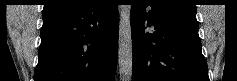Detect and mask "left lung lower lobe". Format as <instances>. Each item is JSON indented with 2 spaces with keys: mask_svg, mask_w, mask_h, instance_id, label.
I'll return each instance as SVG.
<instances>
[{
  "mask_svg": "<svg viewBox=\"0 0 237 81\" xmlns=\"http://www.w3.org/2000/svg\"><path fill=\"white\" fill-rule=\"evenodd\" d=\"M146 22L155 26L154 33L144 32ZM131 30L133 81H209L196 14L134 0Z\"/></svg>",
  "mask_w": 237,
  "mask_h": 81,
  "instance_id": "obj_1",
  "label": "left lung lower lobe"
}]
</instances>
